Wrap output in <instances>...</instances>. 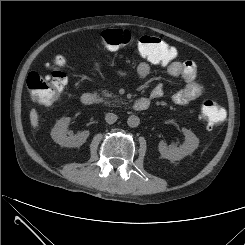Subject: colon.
Returning <instances> with one entry per match:
<instances>
[{
  "label": "colon",
  "instance_id": "colon-1",
  "mask_svg": "<svg viewBox=\"0 0 245 245\" xmlns=\"http://www.w3.org/2000/svg\"><path fill=\"white\" fill-rule=\"evenodd\" d=\"M101 40L104 46L117 49L128 45L132 41V34L126 29H109L102 33ZM137 50L143 59L159 65L171 63L176 56L174 49L166 42L158 37L148 35L138 39ZM66 83L64 73L59 70H54L46 76L30 72L26 79L33 100L42 105H51L57 102ZM201 113L208 130L215 129L225 119L224 108L214 99L204 101Z\"/></svg>",
  "mask_w": 245,
  "mask_h": 245
}]
</instances>
